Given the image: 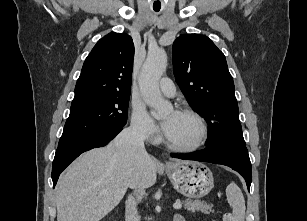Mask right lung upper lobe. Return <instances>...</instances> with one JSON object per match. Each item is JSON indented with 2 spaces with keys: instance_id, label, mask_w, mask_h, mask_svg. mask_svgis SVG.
Returning a JSON list of instances; mask_svg holds the SVG:
<instances>
[{
  "instance_id": "1",
  "label": "right lung upper lobe",
  "mask_w": 307,
  "mask_h": 221,
  "mask_svg": "<svg viewBox=\"0 0 307 221\" xmlns=\"http://www.w3.org/2000/svg\"><path fill=\"white\" fill-rule=\"evenodd\" d=\"M134 44L125 33L100 39L87 56L72 102L115 93H130Z\"/></svg>"
}]
</instances>
